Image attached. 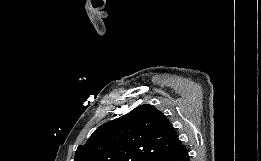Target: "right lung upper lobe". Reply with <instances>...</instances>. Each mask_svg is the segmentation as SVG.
Masks as SVG:
<instances>
[{
  "instance_id": "obj_1",
  "label": "right lung upper lobe",
  "mask_w": 261,
  "mask_h": 161,
  "mask_svg": "<svg viewBox=\"0 0 261 161\" xmlns=\"http://www.w3.org/2000/svg\"><path fill=\"white\" fill-rule=\"evenodd\" d=\"M181 146L165 115L144 104L97 128L74 161H150Z\"/></svg>"
}]
</instances>
